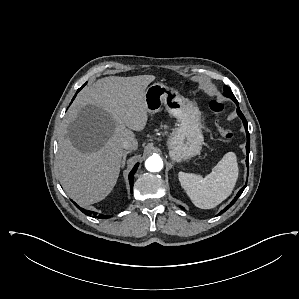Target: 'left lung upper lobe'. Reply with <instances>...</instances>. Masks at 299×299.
<instances>
[{
    "label": "left lung upper lobe",
    "instance_id": "left-lung-upper-lobe-1",
    "mask_svg": "<svg viewBox=\"0 0 299 299\" xmlns=\"http://www.w3.org/2000/svg\"><path fill=\"white\" fill-rule=\"evenodd\" d=\"M224 96L231 98L232 100L235 99V96L233 95L232 91L230 90V88L228 86H224Z\"/></svg>",
    "mask_w": 299,
    "mask_h": 299
}]
</instances>
